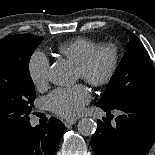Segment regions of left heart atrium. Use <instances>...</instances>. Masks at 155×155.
Segmentation results:
<instances>
[{"label":"left heart atrium","instance_id":"39dd6f15","mask_svg":"<svg viewBox=\"0 0 155 155\" xmlns=\"http://www.w3.org/2000/svg\"><path fill=\"white\" fill-rule=\"evenodd\" d=\"M90 100V93L83 85L70 88H59L47 97L50 109L64 118L79 116Z\"/></svg>","mask_w":155,"mask_h":155}]
</instances>
